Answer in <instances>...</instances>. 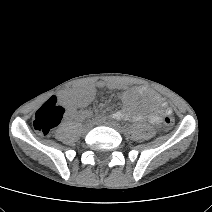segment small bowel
I'll return each mask as SVG.
<instances>
[{
  "label": "small bowel",
  "instance_id": "small-bowel-1",
  "mask_svg": "<svg viewBox=\"0 0 212 212\" xmlns=\"http://www.w3.org/2000/svg\"><path fill=\"white\" fill-rule=\"evenodd\" d=\"M108 88L122 90L123 108L114 112L112 117L117 120L149 121L159 124L163 114H171L167 103L155 92L145 88L125 89L114 82L98 81L95 84H85L75 87L61 95V101L66 107L67 120H83L91 115L85 108L94 99L98 90ZM148 97L158 107L149 109L144 102Z\"/></svg>",
  "mask_w": 212,
  "mask_h": 212
}]
</instances>
